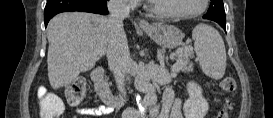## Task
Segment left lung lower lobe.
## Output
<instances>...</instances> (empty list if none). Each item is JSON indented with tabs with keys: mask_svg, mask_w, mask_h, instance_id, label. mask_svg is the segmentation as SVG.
<instances>
[{
	"mask_svg": "<svg viewBox=\"0 0 273 118\" xmlns=\"http://www.w3.org/2000/svg\"><path fill=\"white\" fill-rule=\"evenodd\" d=\"M219 24L222 26V28H223L224 30H226V23H224V22H219Z\"/></svg>",
	"mask_w": 273,
	"mask_h": 118,
	"instance_id": "0a47b994",
	"label": "left lung lower lobe"
}]
</instances>
